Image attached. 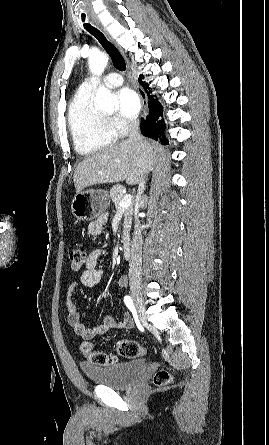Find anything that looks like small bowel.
<instances>
[{"label": "small bowel", "mask_w": 269, "mask_h": 445, "mask_svg": "<svg viewBox=\"0 0 269 445\" xmlns=\"http://www.w3.org/2000/svg\"><path fill=\"white\" fill-rule=\"evenodd\" d=\"M106 221L107 216L102 215L97 220L91 222L88 227L89 233L94 236L100 235ZM105 254L106 252L103 250H94L87 255L82 274L69 285L64 296L67 323L73 328L75 333L84 340H91L112 329H129L133 325L132 318L128 313H124L122 319L119 321L111 316H107L103 319V322L100 325L88 328L82 321L78 312L74 292L79 287L93 289L100 284L103 277V269L99 265V260ZM117 284L121 288H126L128 286L127 276H120L117 280Z\"/></svg>", "instance_id": "small-bowel-1"}]
</instances>
